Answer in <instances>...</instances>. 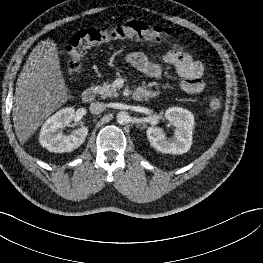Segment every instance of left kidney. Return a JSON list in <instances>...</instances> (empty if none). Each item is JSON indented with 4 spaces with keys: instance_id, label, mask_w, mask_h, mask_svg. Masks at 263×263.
Returning a JSON list of instances; mask_svg holds the SVG:
<instances>
[{
    "instance_id": "5707ae66",
    "label": "left kidney",
    "mask_w": 263,
    "mask_h": 263,
    "mask_svg": "<svg viewBox=\"0 0 263 263\" xmlns=\"http://www.w3.org/2000/svg\"><path fill=\"white\" fill-rule=\"evenodd\" d=\"M165 117L176 127L174 139H167L161 128L149 127L146 133L151 146L162 153L183 154L188 152L192 145L194 115L186 109L172 107L166 110Z\"/></svg>"
}]
</instances>
